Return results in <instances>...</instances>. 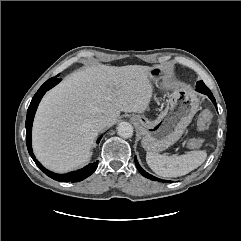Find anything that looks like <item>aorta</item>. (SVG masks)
<instances>
[{
	"mask_svg": "<svg viewBox=\"0 0 241 241\" xmlns=\"http://www.w3.org/2000/svg\"><path fill=\"white\" fill-rule=\"evenodd\" d=\"M117 133L124 138H130L133 136V126L126 121L120 122L117 126Z\"/></svg>",
	"mask_w": 241,
	"mask_h": 241,
	"instance_id": "obj_1",
	"label": "aorta"
}]
</instances>
